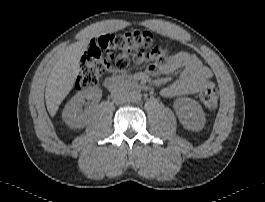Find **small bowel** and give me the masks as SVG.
<instances>
[{"instance_id":"1","label":"small bowel","mask_w":265,"mask_h":202,"mask_svg":"<svg viewBox=\"0 0 265 202\" xmlns=\"http://www.w3.org/2000/svg\"><path fill=\"white\" fill-rule=\"evenodd\" d=\"M95 42L96 40H91L89 47ZM180 68L183 69L180 77L163 89L164 97L173 98L193 94L212 86L210 69L204 66L196 55L185 51L169 56H164L162 51L161 55L147 67V72L154 76L169 75Z\"/></svg>"}]
</instances>
